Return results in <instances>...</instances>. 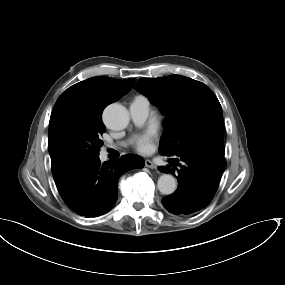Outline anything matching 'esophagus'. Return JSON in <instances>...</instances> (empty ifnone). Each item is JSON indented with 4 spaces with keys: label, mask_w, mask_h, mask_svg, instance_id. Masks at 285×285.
Listing matches in <instances>:
<instances>
[{
    "label": "esophagus",
    "mask_w": 285,
    "mask_h": 285,
    "mask_svg": "<svg viewBox=\"0 0 285 285\" xmlns=\"http://www.w3.org/2000/svg\"><path fill=\"white\" fill-rule=\"evenodd\" d=\"M145 166L151 169H156L157 165L155 163H153L151 160L146 159L145 160Z\"/></svg>",
    "instance_id": "esophagus-1"
}]
</instances>
